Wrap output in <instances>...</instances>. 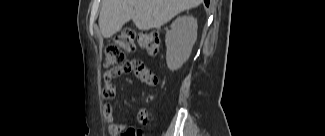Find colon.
<instances>
[{
	"label": "colon",
	"instance_id": "colon-1",
	"mask_svg": "<svg viewBox=\"0 0 325 136\" xmlns=\"http://www.w3.org/2000/svg\"><path fill=\"white\" fill-rule=\"evenodd\" d=\"M140 46L150 56H157L161 48V37L156 31L136 32L132 29H126L116 35L104 53L105 67H113L120 64L126 53H132L136 47ZM122 136H142L139 129L129 127Z\"/></svg>",
	"mask_w": 325,
	"mask_h": 136
}]
</instances>
